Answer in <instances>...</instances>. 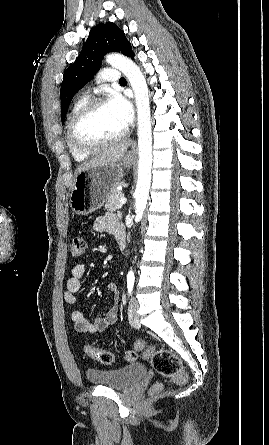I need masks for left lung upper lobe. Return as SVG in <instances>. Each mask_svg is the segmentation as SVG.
<instances>
[{
  "instance_id": "obj_1",
  "label": "left lung upper lobe",
  "mask_w": 269,
  "mask_h": 445,
  "mask_svg": "<svg viewBox=\"0 0 269 445\" xmlns=\"http://www.w3.org/2000/svg\"><path fill=\"white\" fill-rule=\"evenodd\" d=\"M108 52H121L134 58L131 43L124 32L112 22L101 23L92 28L81 54L64 73L60 90L62 124L73 96L92 79L103 56Z\"/></svg>"
}]
</instances>
